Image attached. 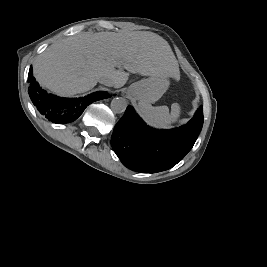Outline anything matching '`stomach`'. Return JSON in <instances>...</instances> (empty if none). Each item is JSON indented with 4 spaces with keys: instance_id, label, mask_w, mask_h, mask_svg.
<instances>
[{
    "instance_id": "1",
    "label": "stomach",
    "mask_w": 267,
    "mask_h": 267,
    "mask_svg": "<svg viewBox=\"0 0 267 267\" xmlns=\"http://www.w3.org/2000/svg\"><path fill=\"white\" fill-rule=\"evenodd\" d=\"M169 86V80L165 77L150 76L133 83L129 89L128 94L140 102L147 104L158 101L166 92Z\"/></svg>"
}]
</instances>
